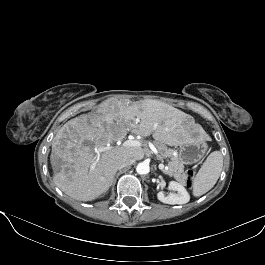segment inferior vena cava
<instances>
[{
  "instance_id": "602c4592",
  "label": "inferior vena cava",
  "mask_w": 265,
  "mask_h": 265,
  "mask_svg": "<svg viewBox=\"0 0 265 265\" xmlns=\"http://www.w3.org/2000/svg\"><path fill=\"white\" fill-rule=\"evenodd\" d=\"M135 162L134 158H124L117 163V169H122L124 167L130 166Z\"/></svg>"
}]
</instances>
